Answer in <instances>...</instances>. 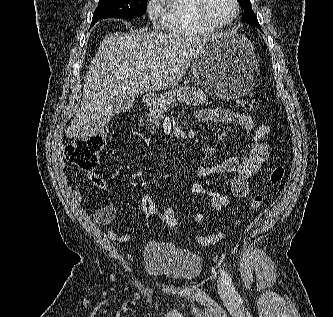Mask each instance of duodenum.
Wrapping results in <instances>:
<instances>
[{
    "label": "duodenum",
    "instance_id": "duodenum-1",
    "mask_svg": "<svg viewBox=\"0 0 333 317\" xmlns=\"http://www.w3.org/2000/svg\"><path fill=\"white\" fill-rule=\"evenodd\" d=\"M154 103H155V97H153V96H146L143 99L142 107L143 108H150L151 106H153Z\"/></svg>",
    "mask_w": 333,
    "mask_h": 317
}]
</instances>
